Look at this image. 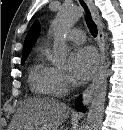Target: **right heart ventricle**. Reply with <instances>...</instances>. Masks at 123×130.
I'll use <instances>...</instances> for the list:
<instances>
[{"label": "right heart ventricle", "mask_w": 123, "mask_h": 130, "mask_svg": "<svg viewBox=\"0 0 123 130\" xmlns=\"http://www.w3.org/2000/svg\"><path fill=\"white\" fill-rule=\"evenodd\" d=\"M57 70L49 64L44 51H38L30 69V82L35 93L44 97L57 95Z\"/></svg>", "instance_id": "obj_1"}]
</instances>
